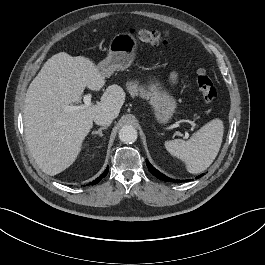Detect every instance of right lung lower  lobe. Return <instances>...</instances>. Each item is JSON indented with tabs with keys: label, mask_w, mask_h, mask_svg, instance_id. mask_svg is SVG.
Segmentation results:
<instances>
[{
	"label": "right lung lower lobe",
	"mask_w": 265,
	"mask_h": 265,
	"mask_svg": "<svg viewBox=\"0 0 265 265\" xmlns=\"http://www.w3.org/2000/svg\"><path fill=\"white\" fill-rule=\"evenodd\" d=\"M108 169L109 168L107 167V169L104 171L103 174H101L97 179H95L94 181H92V183H89V184L94 185V184L98 183L102 178H104L107 175Z\"/></svg>",
	"instance_id": "1"
}]
</instances>
